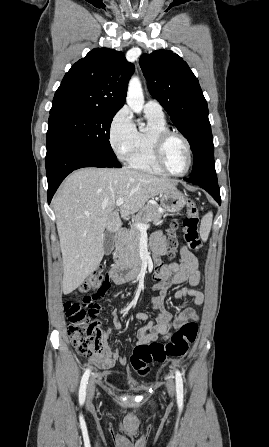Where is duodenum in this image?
<instances>
[{
	"label": "duodenum",
	"mask_w": 269,
	"mask_h": 447,
	"mask_svg": "<svg viewBox=\"0 0 269 447\" xmlns=\"http://www.w3.org/2000/svg\"><path fill=\"white\" fill-rule=\"evenodd\" d=\"M126 234L124 228L116 232L117 241L122 239ZM142 258L133 259L130 262L117 264L110 269L109 275L115 283H123L137 278L141 273Z\"/></svg>",
	"instance_id": "410a0bca"
}]
</instances>
